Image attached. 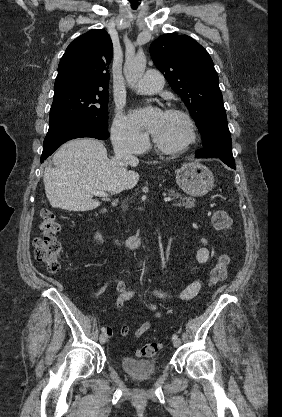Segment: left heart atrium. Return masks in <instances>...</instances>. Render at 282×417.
Instances as JSON below:
<instances>
[{"mask_svg":"<svg viewBox=\"0 0 282 417\" xmlns=\"http://www.w3.org/2000/svg\"><path fill=\"white\" fill-rule=\"evenodd\" d=\"M162 113L155 110L147 113L144 110H139L135 113V120L140 121L151 132L155 133L160 125Z\"/></svg>","mask_w":282,"mask_h":417,"instance_id":"1","label":"left heart atrium"}]
</instances>
